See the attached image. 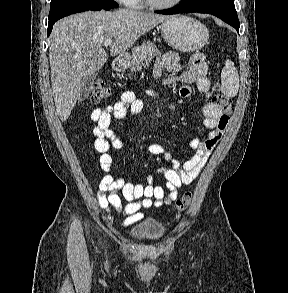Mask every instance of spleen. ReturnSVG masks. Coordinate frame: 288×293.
<instances>
[{
  "label": "spleen",
  "mask_w": 288,
  "mask_h": 293,
  "mask_svg": "<svg viewBox=\"0 0 288 293\" xmlns=\"http://www.w3.org/2000/svg\"><path fill=\"white\" fill-rule=\"evenodd\" d=\"M221 91L227 97H235L239 89V75L234 63L227 59L221 73Z\"/></svg>",
  "instance_id": "1"
}]
</instances>
